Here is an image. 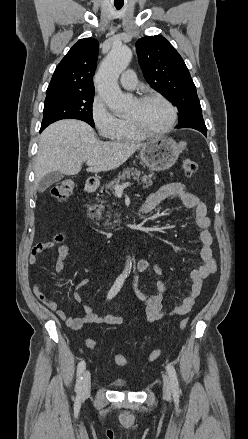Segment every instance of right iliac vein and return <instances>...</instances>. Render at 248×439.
<instances>
[{
    "label": "right iliac vein",
    "instance_id": "right-iliac-vein-1",
    "mask_svg": "<svg viewBox=\"0 0 248 439\" xmlns=\"http://www.w3.org/2000/svg\"><path fill=\"white\" fill-rule=\"evenodd\" d=\"M91 389V373L89 370H86L83 374V381H82V391L81 394L83 397H86L89 395Z\"/></svg>",
    "mask_w": 248,
    "mask_h": 439
}]
</instances>
